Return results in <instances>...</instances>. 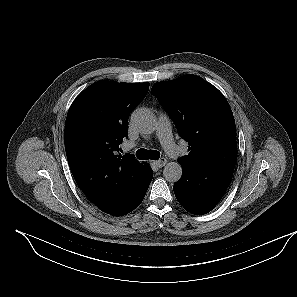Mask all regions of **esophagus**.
<instances>
[{"label":"esophagus","mask_w":297,"mask_h":297,"mask_svg":"<svg viewBox=\"0 0 297 297\" xmlns=\"http://www.w3.org/2000/svg\"><path fill=\"white\" fill-rule=\"evenodd\" d=\"M167 163V159L166 158H160L158 161L155 162V164L161 168L163 166H165Z\"/></svg>","instance_id":"esophagus-1"}]
</instances>
